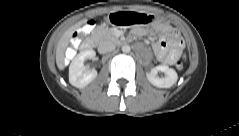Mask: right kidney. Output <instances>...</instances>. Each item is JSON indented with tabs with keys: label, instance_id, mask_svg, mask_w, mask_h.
Masks as SVG:
<instances>
[{
	"label": "right kidney",
	"instance_id": "ca27d5eb",
	"mask_svg": "<svg viewBox=\"0 0 239 136\" xmlns=\"http://www.w3.org/2000/svg\"><path fill=\"white\" fill-rule=\"evenodd\" d=\"M96 53L94 50L80 52L69 66V82L77 88H83L91 83L97 77L95 69L87 70L84 66L86 59H94Z\"/></svg>",
	"mask_w": 239,
	"mask_h": 136
}]
</instances>
